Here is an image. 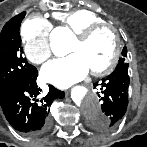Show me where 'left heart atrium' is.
Wrapping results in <instances>:
<instances>
[{
  "label": "left heart atrium",
  "instance_id": "left-heart-atrium-1",
  "mask_svg": "<svg viewBox=\"0 0 147 147\" xmlns=\"http://www.w3.org/2000/svg\"><path fill=\"white\" fill-rule=\"evenodd\" d=\"M89 71L90 68L83 56L73 53L48 62L42 68L41 76L48 83L60 88H67L84 79Z\"/></svg>",
  "mask_w": 147,
  "mask_h": 147
}]
</instances>
